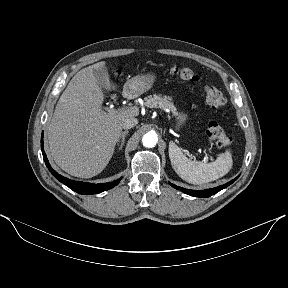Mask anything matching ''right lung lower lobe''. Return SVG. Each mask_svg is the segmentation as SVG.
<instances>
[{
  "label": "right lung lower lobe",
  "instance_id": "98d812e1",
  "mask_svg": "<svg viewBox=\"0 0 288 288\" xmlns=\"http://www.w3.org/2000/svg\"><path fill=\"white\" fill-rule=\"evenodd\" d=\"M41 149H42L44 161L46 163L47 168L51 172V174L54 177H56V179H58L60 182H62L66 186H68L71 190H73L79 194H86V195L97 194V193H100V192H103V191H106V190L113 188L114 186H116L120 182L121 178L118 180H115L113 182L101 183V184H93V183L70 180V179L63 177L62 175L58 174L55 170H53V168L49 164V161L46 157V154L44 152V147H43V133H42V139H41Z\"/></svg>",
  "mask_w": 288,
  "mask_h": 288
}]
</instances>
